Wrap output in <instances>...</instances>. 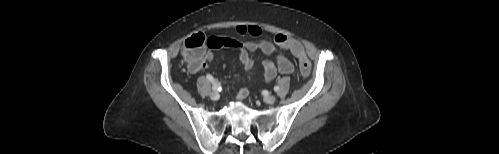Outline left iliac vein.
Instances as JSON below:
<instances>
[{"label":"left iliac vein","mask_w":499,"mask_h":154,"mask_svg":"<svg viewBox=\"0 0 499 154\" xmlns=\"http://www.w3.org/2000/svg\"><path fill=\"white\" fill-rule=\"evenodd\" d=\"M276 100V96L275 95H266L264 98H263V101L267 104H272L274 103Z\"/></svg>","instance_id":"4c4485c4"}]
</instances>
